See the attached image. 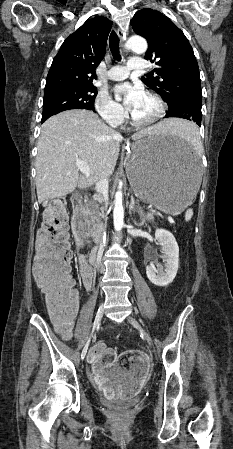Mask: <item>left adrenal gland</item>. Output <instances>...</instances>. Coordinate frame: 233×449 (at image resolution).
<instances>
[{"label":"left adrenal gland","instance_id":"obj_1","mask_svg":"<svg viewBox=\"0 0 233 449\" xmlns=\"http://www.w3.org/2000/svg\"><path fill=\"white\" fill-rule=\"evenodd\" d=\"M129 211H130V215H131L132 220L134 221V223L136 225H139V226L142 225L143 224V220L140 223H137L136 220L133 219V214H134L135 211L138 212L140 214V216L143 213L141 207H138V206L135 205V200H134L133 196L131 197V203H130V206H129Z\"/></svg>","mask_w":233,"mask_h":449}]
</instances>
